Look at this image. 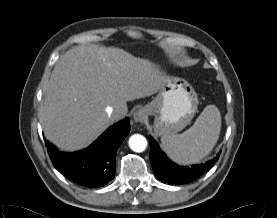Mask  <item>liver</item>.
<instances>
[{
	"instance_id": "6515ba94",
	"label": "liver",
	"mask_w": 277,
	"mask_h": 218,
	"mask_svg": "<svg viewBox=\"0 0 277 218\" xmlns=\"http://www.w3.org/2000/svg\"><path fill=\"white\" fill-rule=\"evenodd\" d=\"M165 75L149 60L113 47L77 46L56 62L39 111L48 140L62 150L87 147L127 114V101L158 92ZM123 110L109 117L106 108Z\"/></svg>"
}]
</instances>
